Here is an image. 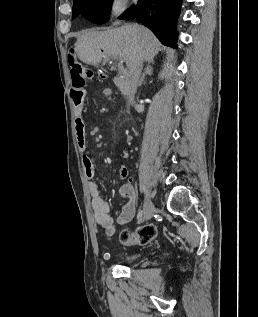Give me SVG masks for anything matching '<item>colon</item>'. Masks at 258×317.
Returning a JSON list of instances; mask_svg holds the SVG:
<instances>
[{"mask_svg":"<svg viewBox=\"0 0 258 317\" xmlns=\"http://www.w3.org/2000/svg\"><path fill=\"white\" fill-rule=\"evenodd\" d=\"M67 58L73 84L84 86L93 79V70L79 61L73 47L68 50ZM156 232V227L153 224H146L138 227L135 231L123 230L120 233V240L125 245H144L154 239Z\"/></svg>","mask_w":258,"mask_h":317,"instance_id":"colon-1","label":"colon"}]
</instances>
